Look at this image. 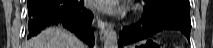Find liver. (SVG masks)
Masks as SVG:
<instances>
[{"instance_id":"1","label":"liver","mask_w":213,"mask_h":48,"mask_svg":"<svg viewBox=\"0 0 213 48\" xmlns=\"http://www.w3.org/2000/svg\"><path fill=\"white\" fill-rule=\"evenodd\" d=\"M25 48H86L72 33L62 27H48L25 43Z\"/></svg>"}]
</instances>
